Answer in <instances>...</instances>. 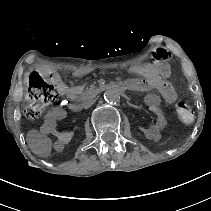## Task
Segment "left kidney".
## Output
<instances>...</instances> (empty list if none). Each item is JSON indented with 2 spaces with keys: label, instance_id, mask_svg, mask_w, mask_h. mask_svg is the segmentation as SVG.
<instances>
[{
  "label": "left kidney",
  "instance_id": "1",
  "mask_svg": "<svg viewBox=\"0 0 211 211\" xmlns=\"http://www.w3.org/2000/svg\"><path fill=\"white\" fill-rule=\"evenodd\" d=\"M153 124L145 130V135L149 139L158 140L161 133L165 130L163 111L159 107H154L151 110Z\"/></svg>",
  "mask_w": 211,
  "mask_h": 211
}]
</instances>
